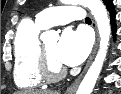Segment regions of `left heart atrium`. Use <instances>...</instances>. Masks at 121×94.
Listing matches in <instances>:
<instances>
[{
	"mask_svg": "<svg viewBox=\"0 0 121 94\" xmlns=\"http://www.w3.org/2000/svg\"><path fill=\"white\" fill-rule=\"evenodd\" d=\"M90 42L81 30L67 29L63 32L56 48L58 61L66 66H77L87 57Z\"/></svg>",
	"mask_w": 121,
	"mask_h": 94,
	"instance_id": "left-heart-atrium-1",
	"label": "left heart atrium"
}]
</instances>
